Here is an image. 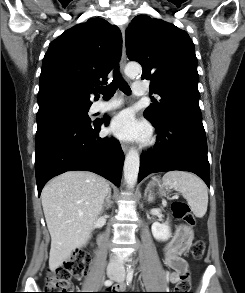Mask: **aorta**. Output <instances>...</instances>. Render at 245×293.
Instances as JSON below:
<instances>
[{
    "mask_svg": "<svg viewBox=\"0 0 245 293\" xmlns=\"http://www.w3.org/2000/svg\"><path fill=\"white\" fill-rule=\"evenodd\" d=\"M142 73V68L138 63H129L125 67V74L128 77H135ZM140 166V156L137 150L130 149L124 162V179L128 188H133L138 179Z\"/></svg>",
    "mask_w": 245,
    "mask_h": 293,
    "instance_id": "1",
    "label": "aorta"
}]
</instances>
